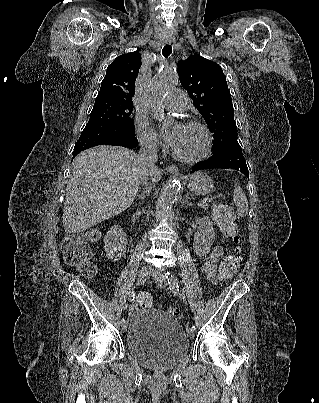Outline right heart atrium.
<instances>
[{
    "label": "right heart atrium",
    "instance_id": "1",
    "mask_svg": "<svg viewBox=\"0 0 319 403\" xmlns=\"http://www.w3.org/2000/svg\"><path fill=\"white\" fill-rule=\"evenodd\" d=\"M137 137L145 149L155 151L158 147V139L156 134L150 128L148 121L145 117L139 115L135 121Z\"/></svg>",
    "mask_w": 319,
    "mask_h": 403
}]
</instances>
